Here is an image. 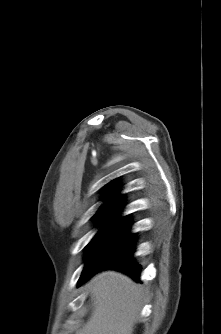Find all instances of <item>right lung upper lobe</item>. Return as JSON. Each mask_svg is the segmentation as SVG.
Returning a JSON list of instances; mask_svg holds the SVG:
<instances>
[{"label":"right lung upper lobe","instance_id":"cb5924a9","mask_svg":"<svg viewBox=\"0 0 221 334\" xmlns=\"http://www.w3.org/2000/svg\"><path fill=\"white\" fill-rule=\"evenodd\" d=\"M113 183V182H112ZM118 189L113 184L109 186L107 196L113 194ZM124 198L123 196H111L110 199L98 210L96 217H110L114 216L122 209Z\"/></svg>","mask_w":221,"mask_h":334}]
</instances>
